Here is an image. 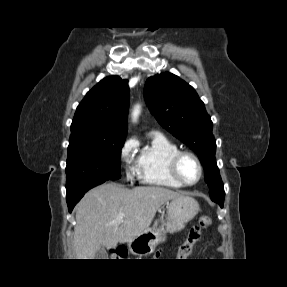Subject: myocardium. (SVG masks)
<instances>
[{
  "instance_id": "1",
  "label": "myocardium",
  "mask_w": 287,
  "mask_h": 287,
  "mask_svg": "<svg viewBox=\"0 0 287 287\" xmlns=\"http://www.w3.org/2000/svg\"><path fill=\"white\" fill-rule=\"evenodd\" d=\"M185 157H190L192 158L195 163L197 164L198 166V169H199V176L197 178V180L193 183H187L185 182L181 175H180V171H179V165H180V162L183 158ZM170 173L172 175V177L181 185V186H184V187H192V186H195L197 185L202 177H203V173H204V169H203V165L199 159V157L191 152V151H182L180 150L179 152H177L170 160Z\"/></svg>"
}]
</instances>
